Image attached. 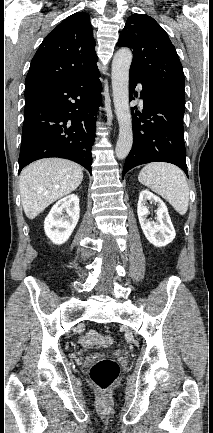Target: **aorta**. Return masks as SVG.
Segmentation results:
<instances>
[{
	"instance_id": "obj_1",
	"label": "aorta",
	"mask_w": 213,
	"mask_h": 433,
	"mask_svg": "<svg viewBox=\"0 0 213 433\" xmlns=\"http://www.w3.org/2000/svg\"><path fill=\"white\" fill-rule=\"evenodd\" d=\"M132 52L128 48L119 49L112 61V91L119 136L115 148L116 157L124 159L133 144L132 117L129 107V70Z\"/></svg>"
}]
</instances>
